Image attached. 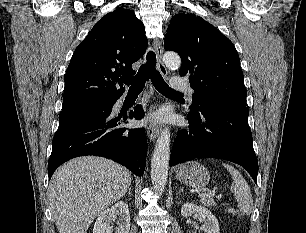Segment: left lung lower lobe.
<instances>
[{"label":"left lung lower lobe","mask_w":306,"mask_h":233,"mask_svg":"<svg viewBox=\"0 0 306 233\" xmlns=\"http://www.w3.org/2000/svg\"><path fill=\"white\" fill-rule=\"evenodd\" d=\"M249 110L230 104H211L188 114L189 129L174 141L170 166L195 158H218L244 167L257 184L258 161L248 126Z\"/></svg>","instance_id":"obj_1"}]
</instances>
